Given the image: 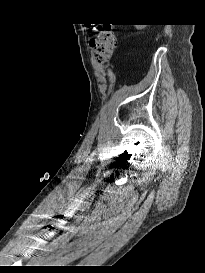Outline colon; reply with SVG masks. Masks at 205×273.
Listing matches in <instances>:
<instances>
[{
  "label": "colon",
  "mask_w": 205,
  "mask_h": 273,
  "mask_svg": "<svg viewBox=\"0 0 205 273\" xmlns=\"http://www.w3.org/2000/svg\"><path fill=\"white\" fill-rule=\"evenodd\" d=\"M116 44L115 35L110 25L97 27L94 37L90 40V48L95 64L103 66L113 53Z\"/></svg>",
  "instance_id": "obj_1"
}]
</instances>
